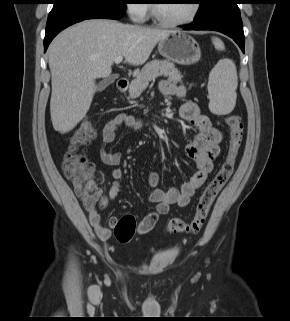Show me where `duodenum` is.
<instances>
[{
  "label": "duodenum",
  "mask_w": 290,
  "mask_h": 321,
  "mask_svg": "<svg viewBox=\"0 0 290 321\" xmlns=\"http://www.w3.org/2000/svg\"><path fill=\"white\" fill-rule=\"evenodd\" d=\"M129 81L126 78H121L116 83V88L119 92H125L128 89Z\"/></svg>",
  "instance_id": "410a0bca"
}]
</instances>
